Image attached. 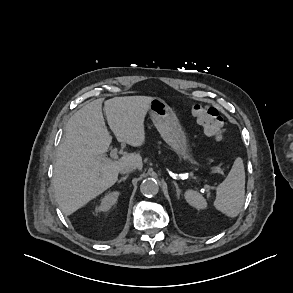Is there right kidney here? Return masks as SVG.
I'll use <instances>...</instances> for the list:
<instances>
[{"mask_svg":"<svg viewBox=\"0 0 293 293\" xmlns=\"http://www.w3.org/2000/svg\"><path fill=\"white\" fill-rule=\"evenodd\" d=\"M119 196V192H111L104 196V198L101 200V204L99 207L96 208L98 211H108L116 202Z\"/></svg>","mask_w":293,"mask_h":293,"instance_id":"right-kidney-1","label":"right kidney"}]
</instances>
